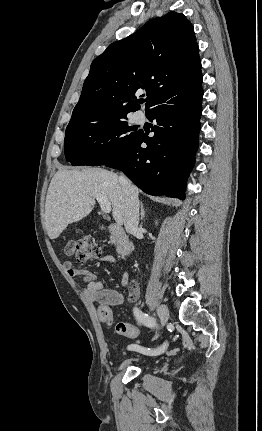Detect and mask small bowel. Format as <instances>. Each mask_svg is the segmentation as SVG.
<instances>
[{"mask_svg": "<svg viewBox=\"0 0 262 431\" xmlns=\"http://www.w3.org/2000/svg\"><path fill=\"white\" fill-rule=\"evenodd\" d=\"M103 260L112 265L116 264L115 259L110 256L104 257ZM63 265L66 269L68 276L72 278L83 279L85 297L90 302L98 303L99 314H106L113 319L111 307L123 303L124 297L122 293L114 289L104 288V284L101 281L97 280L95 274H93L87 269L75 267L71 260H65L63 262ZM121 284L123 287H129V299L131 301H134L139 298L140 289L137 284L130 285V278L128 273L124 272L122 274Z\"/></svg>", "mask_w": 262, "mask_h": 431, "instance_id": "small-bowel-1", "label": "small bowel"}]
</instances>
